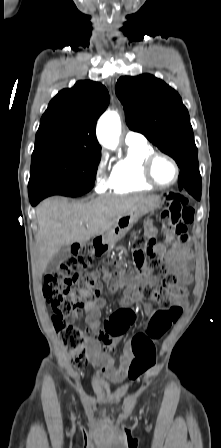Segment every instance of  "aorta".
Listing matches in <instances>:
<instances>
[{
    "label": "aorta",
    "mask_w": 221,
    "mask_h": 448,
    "mask_svg": "<svg viewBox=\"0 0 221 448\" xmlns=\"http://www.w3.org/2000/svg\"><path fill=\"white\" fill-rule=\"evenodd\" d=\"M121 134V120L116 111H106L97 124V138L99 142L110 150H115L119 144Z\"/></svg>",
    "instance_id": "obj_1"
}]
</instances>
